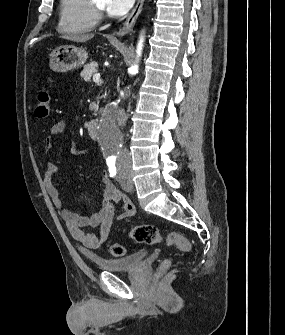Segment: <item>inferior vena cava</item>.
<instances>
[{
  "instance_id": "obj_1",
  "label": "inferior vena cava",
  "mask_w": 285,
  "mask_h": 335,
  "mask_svg": "<svg viewBox=\"0 0 285 335\" xmlns=\"http://www.w3.org/2000/svg\"><path fill=\"white\" fill-rule=\"evenodd\" d=\"M117 122H118V126H125L126 122H127V116L124 112V110H119L118 112V116H117ZM123 130V128H122ZM118 160L119 162H131V158H130V154L127 150V148H123V150H119V154H118Z\"/></svg>"
}]
</instances>
